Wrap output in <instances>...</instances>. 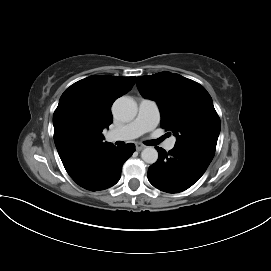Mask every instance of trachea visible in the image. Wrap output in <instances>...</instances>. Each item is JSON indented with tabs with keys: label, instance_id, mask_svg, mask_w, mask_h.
Returning <instances> with one entry per match:
<instances>
[{
	"label": "trachea",
	"instance_id": "1",
	"mask_svg": "<svg viewBox=\"0 0 271 271\" xmlns=\"http://www.w3.org/2000/svg\"><path fill=\"white\" fill-rule=\"evenodd\" d=\"M164 138H166L165 136H163L162 138L158 139V140H153V141H149L146 144L147 145H156L158 143H160Z\"/></svg>",
	"mask_w": 271,
	"mask_h": 271
}]
</instances>
